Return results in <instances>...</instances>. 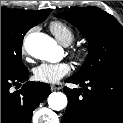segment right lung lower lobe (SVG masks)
<instances>
[{
  "label": "right lung lower lobe",
  "instance_id": "98d812e1",
  "mask_svg": "<svg viewBox=\"0 0 123 123\" xmlns=\"http://www.w3.org/2000/svg\"><path fill=\"white\" fill-rule=\"evenodd\" d=\"M28 70L1 74V123H31L34 109L51 93L50 86L42 82H26ZM12 92V86H21ZM17 88V87H16Z\"/></svg>",
  "mask_w": 123,
  "mask_h": 123
}]
</instances>
